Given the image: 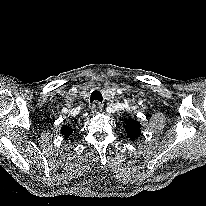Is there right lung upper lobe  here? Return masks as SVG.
<instances>
[{
  "instance_id": "obj_1",
  "label": "right lung upper lobe",
  "mask_w": 206,
  "mask_h": 206,
  "mask_svg": "<svg viewBox=\"0 0 206 206\" xmlns=\"http://www.w3.org/2000/svg\"><path fill=\"white\" fill-rule=\"evenodd\" d=\"M61 133H62L64 136L69 137V136L73 133V129L70 128L69 126L64 125V126L61 128Z\"/></svg>"
}]
</instances>
